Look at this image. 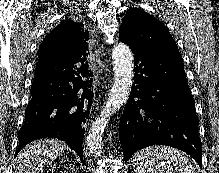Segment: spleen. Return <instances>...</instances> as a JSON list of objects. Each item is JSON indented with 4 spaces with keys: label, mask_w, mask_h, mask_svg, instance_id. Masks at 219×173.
Listing matches in <instances>:
<instances>
[{
    "label": "spleen",
    "mask_w": 219,
    "mask_h": 173,
    "mask_svg": "<svg viewBox=\"0 0 219 173\" xmlns=\"http://www.w3.org/2000/svg\"><path fill=\"white\" fill-rule=\"evenodd\" d=\"M132 164L135 173H196L182 152L166 146L136 152Z\"/></svg>",
    "instance_id": "obj_1"
}]
</instances>
